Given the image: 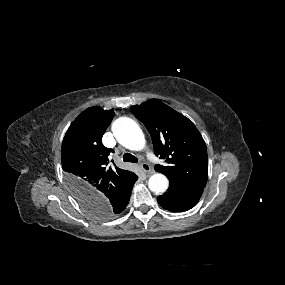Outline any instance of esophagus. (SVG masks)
I'll use <instances>...</instances> for the list:
<instances>
[{
    "instance_id": "esophagus-1",
    "label": "esophagus",
    "mask_w": 285,
    "mask_h": 285,
    "mask_svg": "<svg viewBox=\"0 0 285 285\" xmlns=\"http://www.w3.org/2000/svg\"><path fill=\"white\" fill-rule=\"evenodd\" d=\"M140 168L145 172V173H151L152 172V169L151 167L149 166V164L143 162L140 164Z\"/></svg>"
}]
</instances>
